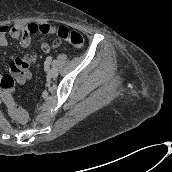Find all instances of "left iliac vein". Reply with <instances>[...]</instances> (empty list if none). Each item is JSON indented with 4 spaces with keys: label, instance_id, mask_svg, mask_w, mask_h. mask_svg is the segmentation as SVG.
I'll return each mask as SVG.
<instances>
[{
    "label": "left iliac vein",
    "instance_id": "obj_1",
    "mask_svg": "<svg viewBox=\"0 0 172 172\" xmlns=\"http://www.w3.org/2000/svg\"><path fill=\"white\" fill-rule=\"evenodd\" d=\"M47 72L50 78H56L58 76V70L55 67L47 69Z\"/></svg>",
    "mask_w": 172,
    "mask_h": 172
}]
</instances>
